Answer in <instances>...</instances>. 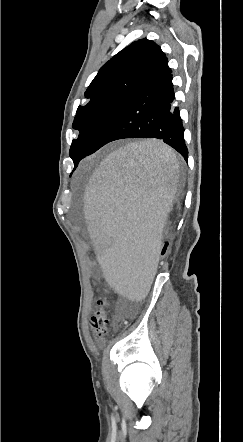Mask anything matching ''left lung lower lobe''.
<instances>
[{
	"label": "left lung lower lobe",
	"instance_id": "left-lung-lower-lobe-1",
	"mask_svg": "<svg viewBox=\"0 0 243 442\" xmlns=\"http://www.w3.org/2000/svg\"><path fill=\"white\" fill-rule=\"evenodd\" d=\"M175 99L171 69L165 54L144 80L116 107L87 151L124 138H157L188 161L184 127Z\"/></svg>",
	"mask_w": 243,
	"mask_h": 442
}]
</instances>
